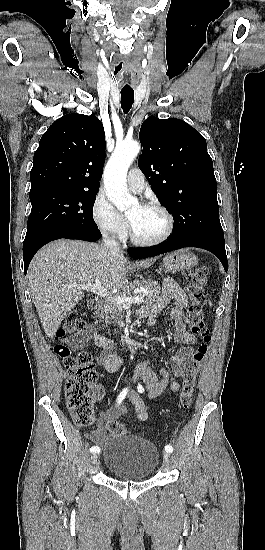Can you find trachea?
<instances>
[{
    "mask_svg": "<svg viewBox=\"0 0 265 550\" xmlns=\"http://www.w3.org/2000/svg\"><path fill=\"white\" fill-rule=\"evenodd\" d=\"M134 102V92L121 91V107L124 113H128Z\"/></svg>",
    "mask_w": 265,
    "mask_h": 550,
    "instance_id": "1",
    "label": "trachea"
}]
</instances>
